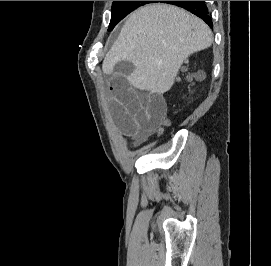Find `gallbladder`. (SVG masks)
I'll return each instance as SVG.
<instances>
[{"label":"gallbladder","instance_id":"bac80fb5","mask_svg":"<svg viewBox=\"0 0 271 266\" xmlns=\"http://www.w3.org/2000/svg\"><path fill=\"white\" fill-rule=\"evenodd\" d=\"M134 70V65L129 61H120L115 65L117 75H128Z\"/></svg>","mask_w":271,"mask_h":266}]
</instances>
